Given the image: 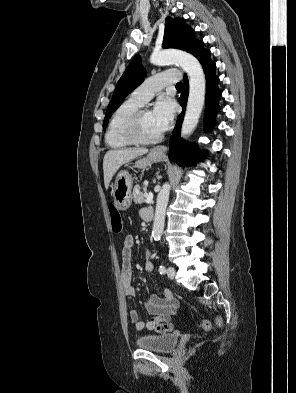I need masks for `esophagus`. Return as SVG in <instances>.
Here are the masks:
<instances>
[{"label":"esophagus","instance_id":"esophagus-1","mask_svg":"<svg viewBox=\"0 0 296 393\" xmlns=\"http://www.w3.org/2000/svg\"><path fill=\"white\" fill-rule=\"evenodd\" d=\"M153 151H154L155 153L164 155V154H166V152H167V147H166V146H163V145L156 146V147L153 149Z\"/></svg>","mask_w":296,"mask_h":393}]
</instances>
